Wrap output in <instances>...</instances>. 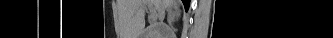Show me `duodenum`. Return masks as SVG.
Listing matches in <instances>:
<instances>
[{"label": "duodenum", "mask_w": 333, "mask_h": 38, "mask_svg": "<svg viewBox=\"0 0 333 38\" xmlns=\"http://www.w3.org/2000/svg\"><path fill=\"white\" fill-rule=\"evenodd\" d=\"M147 36H148V32L147 31L143 32L142 38H146Z\"/></svg>", "instance_id": "obj_1"}]
</instances>
